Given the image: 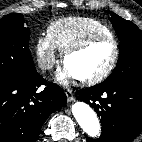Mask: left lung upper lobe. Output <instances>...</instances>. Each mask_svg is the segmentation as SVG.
Instances as JSON below:
<instances>
[{"label":"left lung upper lobe","mask_w":142,"mask_h":142,"mask_svg":"<svg viewBox=\"0 0 142 142\" xmlns=\"http://www.w3.org/2000/svg\"><path fill=\"white\" fill-rule=\"evenodd\" d=\"M110 13V21L120 39V53L115 69L104 82L142 81V31L131 21Z\"/></svg>","instance_id":"left-lung-upper-lobe-1"}]
</instances>
